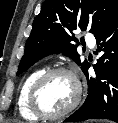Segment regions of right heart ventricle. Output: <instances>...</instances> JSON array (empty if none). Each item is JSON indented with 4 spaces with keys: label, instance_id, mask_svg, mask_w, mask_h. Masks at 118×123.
<instances>
[{
    "label": "right heart ventricle",
    "instance_id": "1",
    "mask_svg": "<svg viewBox=\"0 0 118 123\" xmlns=\"http://www.w3.org/2000/svg\"><path fill=\"white\" fill-rule=\"evenodd\" d=\"M44 72V69H37L31 72L22 82L18 97H17V107L20 115L27 120H38L36 114H34L29 107V93L32 85L36 79Z\"/></svg>",
    "mask_w": 118,
    "mask_h": 123
}]
</instances>
